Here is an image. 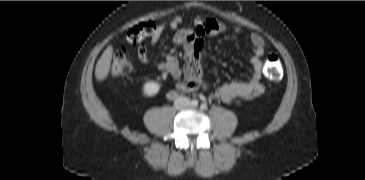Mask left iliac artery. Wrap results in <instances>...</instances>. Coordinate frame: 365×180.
I'll return each mask as SVG.
<instances>
[{"mask_svg":"<svg viewBox=\"0 0 365 180\" xmlns=\"http://www.w3.org/2000/svg\"><path fill=\"white\" fill-rule=\"evenodd\" d=\"M200 108H201L202 110L207 109V104H206V103H202V104H201V106H200Z\"/></svg>","mask_w":365,"mask_h":180,"instance_id":"left-iliac-artery-1","label":"left iliac artery"}]
</instances>
